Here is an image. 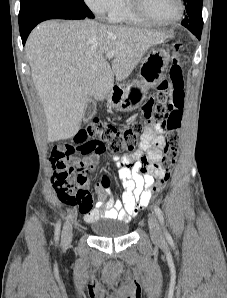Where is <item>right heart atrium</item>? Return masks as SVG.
Instances as JSON below:
<instances>
[{
  "label": "right heart atrium",
  "instance_id": "1",
  "mask_svg": "<svg viewBox=\"0 0 227 298\" xmlns=\"http://www.w3.org/2000/svg\"><path fill=\"white\" fill-rule=\"evenodd\" d=\"M119 0H84L88 8L98 16H108L117 6Z\"/></svg>",
  "mask_w": 227,
  "mask_h": 298
}]
</instances>
